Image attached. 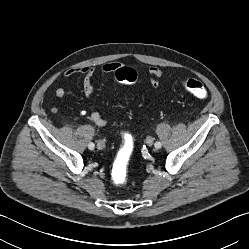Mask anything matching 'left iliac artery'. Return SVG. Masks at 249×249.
I'll list each match as a JSON object with an SVG mask.
<instances>
[{
	"instance_id": "left-iliac-artery-1",
	"label": "left iliac artery",
	"mask_w": 249,
	"mask_h": 249,
	"mask_svg": "<svg viewBox=\"0 0 249 249\" xmlns=\"http://www.w3.org/2000/svg\"><path fill=\"white\" fill-rule=\"evenodd\" d=\"M154 146H155V148L159 149V148H161L162 144H161V142L157 141Z\"/></svg>"
}]
</instances>
